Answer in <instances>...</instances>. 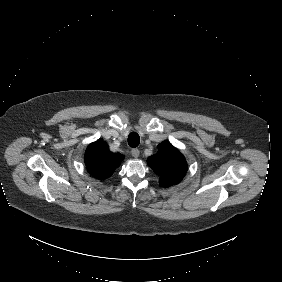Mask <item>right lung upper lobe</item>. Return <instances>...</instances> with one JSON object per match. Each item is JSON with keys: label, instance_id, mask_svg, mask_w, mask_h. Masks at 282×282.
<instances>
[{"label": "right lung upper lobe", "instance_id": "cb5924a9", "mask_svg": "<svg viewBox=\"0 0 282 282\" xmlns=\"http://www.w3.org/2000/svg\"><path fill=\"white\" fill-rule=\"evenodd\" d=\"M122 160L123 156L119 153H112L102 139L91 143L85 152L88 172L100 180L111 176Z\"/></svg>", "mask_w": 282, "mask_h": 282}]
</instances>
